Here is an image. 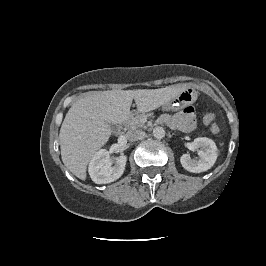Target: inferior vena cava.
Returning <instances> with one entry per match:
<instances>
[{"mask_svg": "<svg viewBox=\"0 0 266 266\" xmlns=\"http://www.w3.org/2000/svg\"><path fill=\"white\" fill-rule=\"evenodd\" d=\"M145 132L142 130H130L127 133V137L130 141H137L145 137Z\"/></svg>", "mask_w": 266, "mask_h": 266, "instance_id": "inferior-vena-cava-1", "label": "inferior vena cava"}]
</instances>
